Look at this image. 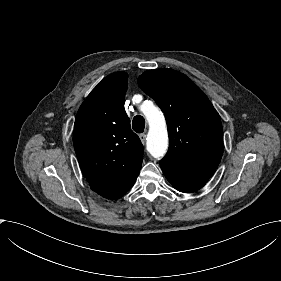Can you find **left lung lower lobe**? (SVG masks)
Segmentation results:
<instances>
[{
	"label": "left lung lower lobe",
	"instance_id": "left-lung-lower-lobe-1",
	"mask_svg": "<svg viewBox=\"0 0 281 281\" xmlns=\"http://www.w3.org/2000/svg\"><path fill=\"white\" fill-rule=\"evenodd\" d=\"M160 166L167 180L181 192L191 193L202 186L214 174L213 169H188L161 160Z\"/></svg>",
	"mask_w": 281,
	"mask_h": 281
}]
</instances>
